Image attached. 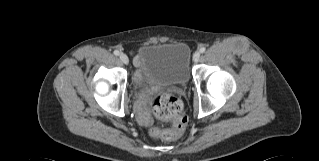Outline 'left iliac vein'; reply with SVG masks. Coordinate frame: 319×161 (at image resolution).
Masks as SVG:
<instances>
[{
  "instance_id": "1",
  "label": "left iliac vein",
  "mask_w": 319,
  "mask_h": 161,
  "mask_svg": "<svg viewBox=\"0 0 319 161\" xmlns=\"http://www.w3.org/2000/svg\"><path fill=\"white\" fill-rule=\"evenodd\" d=\"M199 58H200V53L197 51V52H195V53L193 54V60H194L195 62H197V61L199 60Z\"/></svg>"
}]
</instances>
